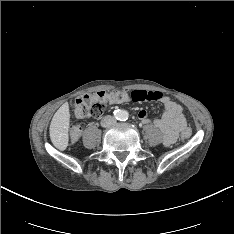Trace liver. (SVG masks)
Listing matches in <instances>:
<instances>
[{
    "instance_id": "liver-1",
    "label": "liver",
    "mask_w": 234,
    "mask_h": 234,
    "mask_svg": "<svg viewBox=\"0 0 234 234\" xmlns=\"http://www.w3.org/2000/svg\"><path fill=\"white\" fill-rule=\"evenodd\" d=\"M70 124V112L68 103H64L54 114L50 128V139L53 145L63 151L68 146V130Z\"/></svg>"
}]
</instances>
